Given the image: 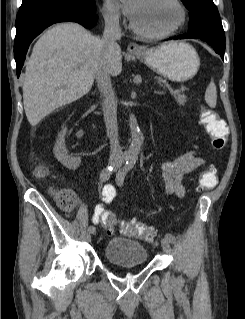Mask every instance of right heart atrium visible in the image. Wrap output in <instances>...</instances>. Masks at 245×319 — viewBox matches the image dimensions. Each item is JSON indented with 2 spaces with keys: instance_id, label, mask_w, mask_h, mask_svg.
<instances>
[{
  "instance_id": "obj_1",
  "label": "right heart atrium",
  "mask_w": 245,
  "mask_h": 319,
  "mask_svg": "<svg viewBox=\"0 0 245 319\" xmlns=\"http://www.w3.org/2000/svg\"><path fill=\"white\" fill-rule=\"evenodd\" d=\"M103 16L107 25L111 28H118L120 26V13L118 10L110 4H104Z\"/></svg>"
}]
</instances>
